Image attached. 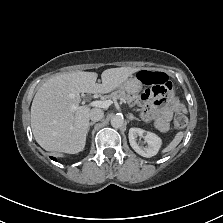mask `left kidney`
Masks as SVG:
<instances>
[{"label": "left kidney", "instance_id": "left-kidney-1", "mask_svg": "<svg viewBox=\"0 0 223 223\" xmlns=\"http://www.w3.org/2000/svg\"><path fill=\"white\" fill-rule=\"evenodd\" d=\"M138 136L143 137L145 142H147L148 145L146 147H140L137 144L136 138ZM129 142L135 152L147 158L155 156L158 153L162 144L161 138H159L156 134L145 131L141 128H130Z\"/></svg>", "mask_w": 223, "mask_h": 223}]
</instances>
